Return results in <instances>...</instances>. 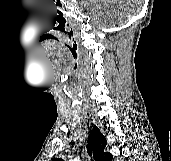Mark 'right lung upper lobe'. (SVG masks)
I'll use <instances>...</instances> for the list:
<instances>
[{"label":"right lung upper lobe","mask_w":171,"mask_h":161,"mask_svg":"<svg viewBox=\"0 0 171 161\" xmlns=\"http://www.w3.org/2000/svg\"><path fill=\"white\" fill-rule=\"evenodd\" d=\"M106 144L105 137L98 127L94 126L87 145L88 152L93 155L94 161H112V155L109 152H104ZM53 161H63V159L55 158Z\"/></svg>","instance_id":"obj_1"}]
</instances>
